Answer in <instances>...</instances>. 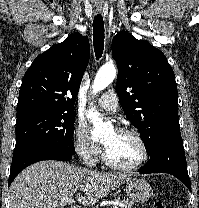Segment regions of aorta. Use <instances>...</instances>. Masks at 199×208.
Instances as JSON below:
<instances>
[{
	"label": "aorta",
	"mask_w": 199,
	"mask_h": 208,
	"mask_svg": "<svg viewBox=\"0 0 199 208\" xmlns=\"http://www.w3.org/2000/svg\"><path fill=\"white\" fill-rule=\"evenodd\" d=\"M116 77V68L113 64H105L103 65L99 71L97 72L93 85H92V93L96 94L103 89H105ZM87 117L93 124V132L94 136L103 135L108 129L109 125L100 118V114L95 110V108H91L87 112Z\"/></svg>",
	"instance_id": "obj_1"
}]
</instances>
